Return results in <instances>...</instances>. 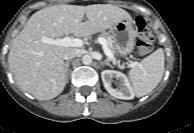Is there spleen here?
Here are the masks:
<instances>
[{"mask_svg":"<svg viewBox=\"0 0 194 133\" xmlns=\"http://www.w3.org/2000/svg\"><path fill=\"white\" fill-rule=\"evenodd\" d=\"M163 72L164 52L159 48L129 71L134 94L142 97L150 93L160 83Z\"/></svg>","mask_w":194,"mask_h":133,"instance_id":"spleen-1","label":"spleen"}]
</instances>
